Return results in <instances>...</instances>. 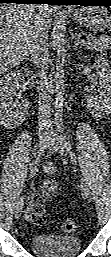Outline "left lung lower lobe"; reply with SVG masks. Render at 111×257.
<instances>
[{
    "mask_svg": "<svg viewBox=\"0 0 111 257\" xmlns=\"http://www.w3.org/2000/svg\"><path fill=\"white\" fill-rule=\"evenodd\" d=\"M66 5L111 6V0H68Z\"/></svg>",
    "mask_w": 111,
    "mask_h": 257,
    "instance_id": "obj_1",
    "label": "left lung lower lobe"
}]
</instances>
